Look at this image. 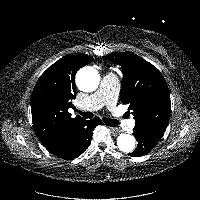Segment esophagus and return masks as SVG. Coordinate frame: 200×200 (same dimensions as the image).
<instances>
[{
	"mask_svg": "<svg viewBox=\"0 0 200 200\" xmlns=\"http://www.w3.org/2000/svg\"><path fill=\"white\" fill-rule=\"evenodd\" d=\"M109 129H110V131H111L112 133H115V134H117V133L119 132V129H118V128L110 127Z\"/></svg>",
	"mask_w": 200,
	"mask_h": 200,
	"instance_id": "obj_1",
	"label": "esophagus"
}]
</instances>
